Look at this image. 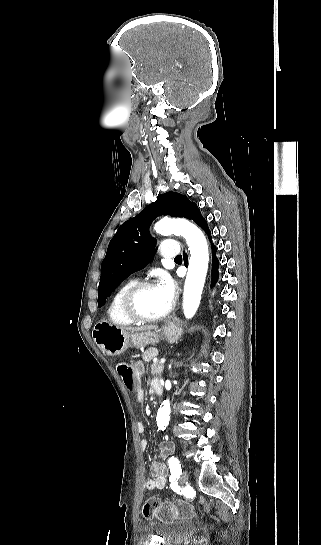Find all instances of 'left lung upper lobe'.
Returning a JSON list of instances; mask_svg holds the SVG:
<instances>
[{
	"label": "left lung upper lobe",
	"instance_id": "left-lung-upper-lobe-1",
	"mask_svg": "<svg viewBox=\"0 0 321 545\" xmlns=\"http://www.w3.org/2000/svg\"><path fill=\"white\" fill-rule=\"evenodd\" d=\"M198 209L186 196L167 192L137 216L124 222L111 239L101 266L98 306L129 275L146 267L152 260L156 240L149 233L152 221L160 215L191 219Z\"/></svg>",
	"mask_w": 321,
	"mask_h": 545
}]
</instances>
